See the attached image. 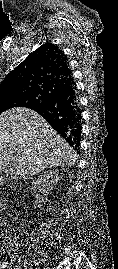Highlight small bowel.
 I'll return each instance as SVG.
<instances>
[{"label": "small bowel", "instance_id": "obj_1", "mask_svg": "<svg viewBox=\"0 0 118 269\" xmlns=\"http://www.w3.org/2000/svg\"><path fill=\"white\" fill-rule=\"evenodd\" d=\"M12 269H21V267H19V266H15V267H13Z\"/></svg>", "mask_w": 118, "mask_h": 269}]
</instances>
